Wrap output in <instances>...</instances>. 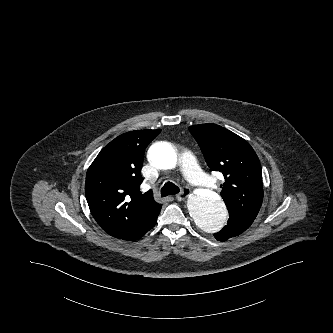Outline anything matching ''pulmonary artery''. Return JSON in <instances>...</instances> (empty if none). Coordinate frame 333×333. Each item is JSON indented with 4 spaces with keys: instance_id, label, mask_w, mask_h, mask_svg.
Returning a JSON list of instances; mask_svg holds the SVG:
<instances>
[{
    "instance_id": "e3ab8cb5",
    "label": "pulmonary artery",
    "mask_w": 333,
    "mask_h": 333,
    "mask_svg": "<svg viewBox=\"0 0 333 333\" xmlns=\"http://www.w3.org/2000/svg\"><path fill=\"white\" fill-rule=\"evenodd\" d=\"M180 167L183 175L194 186L214 189L215 183L200 169L192 153L184 152L180 156Z\"/></svg>"
}]
</instances>
